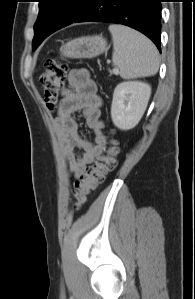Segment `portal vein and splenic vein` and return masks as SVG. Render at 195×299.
Segmentation results:
<instances>
[{
	"label": "portal vein and splenic vein",
	"instance_id": "obj_1",
	"mask_svg": "<svg viewBox=\"0 0 195 299\" xmlns=\"http://www.w3.org/2000/svg\"><path fill=\"white\" fill-rule=\"evenodd\" d=\"M113 72H114V73H118V69H116V68L113 69Z\"/></svg>",
	"mask_w": 195,
	"mask_h": 299
}]
</instances>
